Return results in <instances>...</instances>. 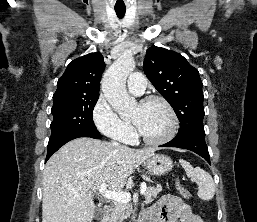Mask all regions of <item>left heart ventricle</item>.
<instances>
[{"label": "left heart ventricle", "instance_id": "1", "mask_svg": "<svg viewBox=\"0 0 257 222\" xmlns=\"http://www.w3.org/2000/svg\"><path fill=\"white\" fill-rule=\"evenodd\" d=\"M130 120L143 136L150 139L164 136L171 126L170 115L159 102H152L144 106L138 104Z\"/></svg>", "mask_w": 257, "mask_h": 222}]
</instances>
